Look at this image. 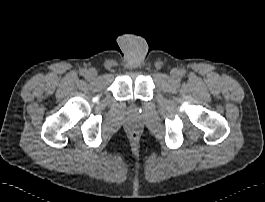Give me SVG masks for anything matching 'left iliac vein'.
I'll return each mask as SVG.
<instances>
[{"mask_svg":"<svg viewBox=\"0 0 265 202\" xmlns=\"http://www.w3.org/2000/svg\"><path fill=\"white\" fill-rule=\"evenodd\" d=\"M175 75H176V73H175V72H173V73H172V77H174Z\"/></svg>","mask_w":265,"mask_h":202,"instance_id":"obj_1","label":"left iliac vein"}]
</instances>
